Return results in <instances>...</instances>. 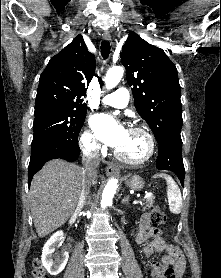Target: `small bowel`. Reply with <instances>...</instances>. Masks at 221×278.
<instances>
[{
    "mask_svg": "<svg viewBox=\"0 0 221 278\" xmlns=\"http://www.w3.org/2000/svg\"><path fill=\"white\" fill-rule=\"evenodd\" d=\"M136 241L143 245L142 251L146 257H150L154 253L162 255L161 262L153 261L147 264L150 278H164V266L166 265L172 266L177 278H181L185 268L183 254L179 248L167 244L162 239L160 230L151 224L149 214L141 217Z\"/></svg>",
    "mask_w": 221,
    "mask_h": 278,
    "instance_id": "1",
    "label": "small bowel"
}]
</instances>
